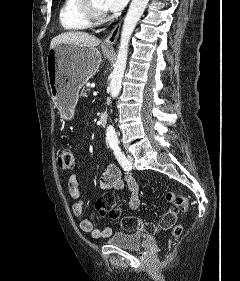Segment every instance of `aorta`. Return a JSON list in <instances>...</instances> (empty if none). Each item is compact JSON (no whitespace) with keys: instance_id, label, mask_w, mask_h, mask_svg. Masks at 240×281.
<instances>
[{"instance_id":"1","label":"aorta","mask_w":240,"mask_h":281,"mask_svg":"<svg viewBox=\"0 0 240 281\" xmlns=\"http://www.w3.org/2000/svg\"><path fill=\"white\" fill-rule=\"evenodd\" d=\"M148 2L149 0H132L125 17L120 37L117 60L114 70L111 73L110 94L112 98H116L120 93L122 78L126 69L129 41ZM106 140L109 143H115L118 140L115 128L112 125H109L106 129Z\"/></svg>"}]
</instances>
